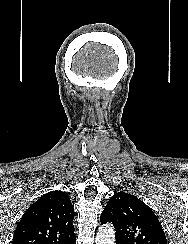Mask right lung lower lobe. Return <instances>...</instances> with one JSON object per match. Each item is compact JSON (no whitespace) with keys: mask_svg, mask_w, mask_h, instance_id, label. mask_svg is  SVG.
Returning <instances> with one entry per match:
<instances>
[{"mask_svg":"<svg viewBox=\"0 0 188 244\" xmlns=\"http://www.w3.org/2000/svg\"><path fill=\"white\" fill-rule=\"evenodd\" d=\"M70 244H76V239L70 242Z\"/></svg>","mask_w":188,"mask_h":244,"instance_id":"right-lung-lower-lobe-1","label":"right lung lower lobe"}]
</instances>
